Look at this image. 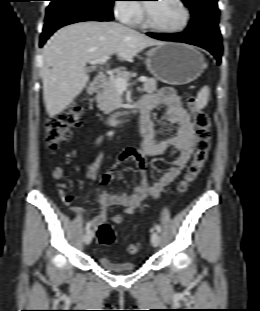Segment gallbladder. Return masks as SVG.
Segmentation results:
<instances>
[{
  "label": "gallbladder",
  "mask_w": 260,
  "mask_h": 311,
  "mask_svg": "<svg viewBox=\"0 0 260 311\" xmlns=\"http://www.w3.org/2000/svg\"><path fill=\"white\" fill-rule=\"evenodd\" d=\"M88 71H92V68H89Z\"/></svg>",
  "instance_id": "obj_1"
}]
</instances>
